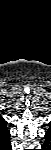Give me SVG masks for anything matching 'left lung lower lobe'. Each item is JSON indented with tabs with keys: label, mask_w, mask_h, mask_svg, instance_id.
Masks as SVG:
<instances>
[{
	"label": "left lung lower lobe",
	"mask_w": 51,
	"mask_h": 150,
	"mask_svg": "<svg viewBox=\"0 0 51 150\" xmlns=\"http://www.w3.org/2000/svg\"><path fill=\"white\" fill-rule=\"evenodd\" d=\"M50 143V131H47L45 134V143L44 146H47Z\"/></svg>",
	"instance_id": "obj_1"
}]
</instances>
